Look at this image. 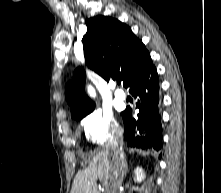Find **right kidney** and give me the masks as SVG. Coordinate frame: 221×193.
Here are the masks:
<instances>
[{
	"instance_id": "ca27d5eb",
	"label": "right kidney",
	"mask_w": 221,
	"mask_h": 193,
	"mask_svg": "<svg viewBox=\"0 0 221 193\" xmlns=\"http://www.w3.org/2000/svg\"><path fill=\"white\" fill-rule=\"evenodd\" d=\"M134 172H135L136 182H141L145 179V172L143 171L142 168L137 167Z\"/></svg>"
}]
</instances>
